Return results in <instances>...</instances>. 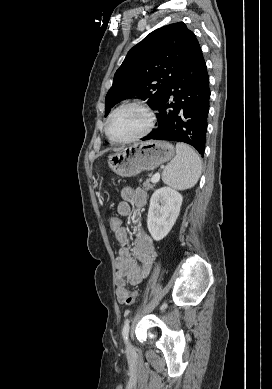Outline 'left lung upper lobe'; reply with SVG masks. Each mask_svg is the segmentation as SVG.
I'll return each mask as SVG.
<instances>
[{"label": "left lung upper lobe", "mask_w": 272, "mask_h": 389, "mask_svg": "<svg viewBox=\"0 0 272 389\" xmlns=\"http://www.w3.org/2000/svg\"><path fill=\"white\" fill-rule=\"evenodd\" d=\"M200 49L183 22L151 32L127 53L106 95L105 116L123 99L142 96L151 108L161 103L170 83Z\"/></svg>", "instance_id": "5c2ea615"}]
</instances>
